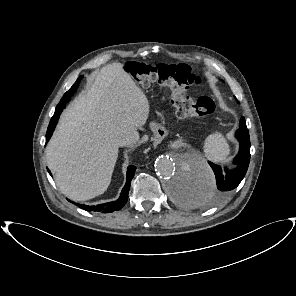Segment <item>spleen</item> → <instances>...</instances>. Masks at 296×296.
<instances>
[{"instance_id":"obj_1","label":"spleen","mask_w":296,"mask_h":296,"mask_svg":"<svg viewBox=\"0 0 296 296\" xmlns=\"http://www.w3.org/2000/svg\"><path fill=\"white\" fill-rule=\"evenodd\" d=\"M204 152L208 159L220 163L226 160L230 149L222 134L213 133L205 140Z\"/></svg>"}]
</instances>
